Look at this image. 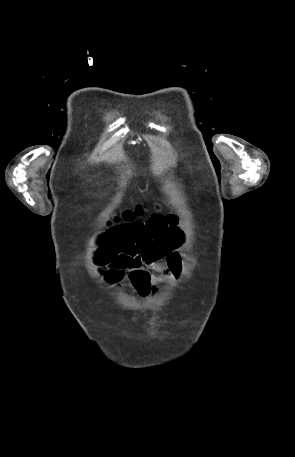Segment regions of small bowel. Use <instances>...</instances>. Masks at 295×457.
Returning a JSON list of instances; mask_svg holds the SVG:
<instances>
[{"label": "small bowel", "instance_id": "c3829d8e", "mask_svg": "<svg viewBox=\"0 0 295 457\" xmlns=\"http://www.w3.org/2000/svg\"><path fill=\"white\" fill-rule=\"evenodd\" d=\"M177 222L175 215L155 214L144 222L112 227L97 239L96 260L102 264L106 256L122 253L128 246L136 247L140 251L139 265L128 270L126 280L139 292L147 293L153 285L176 279L182 273L179 248L184 236L176 227Z\"/></svg>", "mask_w": 295, "mask_h": 457}]
</instances>
